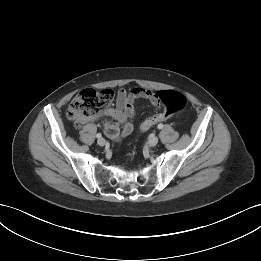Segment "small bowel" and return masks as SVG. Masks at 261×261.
Masks as SVG:
<instances>
[{"label":"small bowel","instance_id":"obj_1","mask_svg":"<svg viewBox=\"0 0 261 261\" xmlns=\"http://www.w3.org/2000/svg\"><path fill=\"white\" fill-rule=\"evenodd\" d=\"M139 99H147L154 106H159L158 93L141 87H134L130 91L120 89L117 92L116 106L106 110L105 114L120 123L121 136H128L133 131L132 120L136 115L135 103ZM112 139V138H111Z\"/></svg>","mask_w":261,"mask_h":261}]
</instances>
